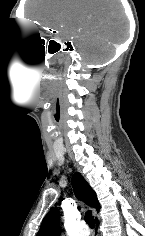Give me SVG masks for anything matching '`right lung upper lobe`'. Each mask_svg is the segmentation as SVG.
Segmentation results:
<instances>
[{"label":"right lung upper lobe","instance_id":"obj_1","mask_svg":"<svg viewBox=\"0 0 145 236\" xmlns=\"http://www.w3.org/2000/svg\"><path fill=\"white\" fill-rule=\"evenodd\" d=\"M72 186L78 198L99 211L100 204L97 200L96 193L80 173L74 174ZM59 224L60 212L58 209H52L43 219L37 236H60Z\"/></svg>","mask_w":145,"mask_h":236}]
</instances>
